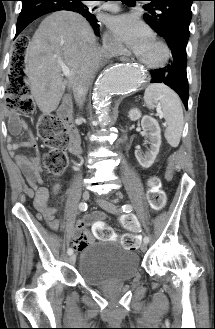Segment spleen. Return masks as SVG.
Wrapping results in <instances>:
<instances>
[{
	"label": "spleen",
	"mask_w": 215,
	"mask_h": 329,
	"mask_svg": "<svg viewBox=\"0 0 215 329\" xmlns=\"http://www.w3.org/2000/svg\"><path fill=\"white\" fill-rule=\"evenodd\" d=\"M144 101L147 107L162 109V114L167 124L165 138L172 147L179 145L184 117L179 96L164 84H153L146 88Z\"/></svg>",
	"instance_id": "3e777b00"
}]
</instances>
